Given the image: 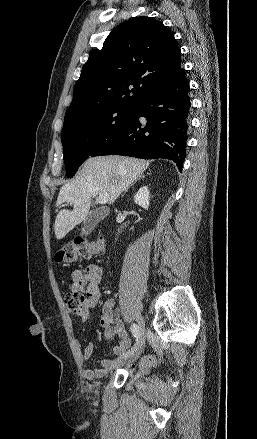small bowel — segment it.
<instances>
[{
    "label": "small bowel",
    "instance_id": "c3829d8e",
    "mask_svg": "<svg viewBox=\"0 0 257 439\" xmlns=\"http://www.w3.org/2000/svg\"><path fill=\"white\" fill-rule=\"evenodd\" d=\"M101 275V270L95 266H89L84 270L76 269L71 273L72 291H80L86 297L84 309L77 314L83 322L89 318L90 309L97 307L101 300L102 295L99 289ZM114 307L115 301L113 299H108L103 303L100 324L106 339L118 336V342L110 350L115 355L121 356L131 347L132 341L123 323L118 319ZM93 353L94 345L87 344L82 351L84 361H90ZM114 364L115 361L103 359L98 368L86 366L83 371L84 377L88 380L101 378L113 368Z\"/></svg>",
    "mask_w": 257,
    "mask_h": 439
}]
</instances>
